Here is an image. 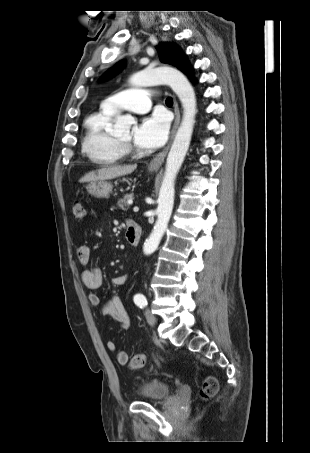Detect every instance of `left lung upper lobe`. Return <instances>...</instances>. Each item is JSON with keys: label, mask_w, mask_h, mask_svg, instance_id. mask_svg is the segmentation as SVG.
Instances as JSON below:
<instances>
[{"label": "left lung upper lobe", "mask_w": 310, "mask_h": 453, "mask_svg": "<svg viewBox=\"0 0 310 453\" xmlns=\"http://www.w3.org/2000/svg\"><path fill=\"white\" fill-rule=\"evenodd\" d=\"M157 49L159 52L160 61L163 63L171 64L180 69L184 62L186 61V57L185 55H183L181 49L172 43H162L159 46H157ZM123 67H124L123 62L117 63L115 66H113L106 72L105 78L116 74Z\"/></svg>", "instance_id": "obj_1"}]
</instances>
